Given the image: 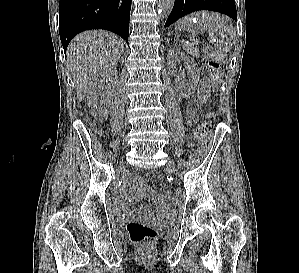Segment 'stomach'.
Returning <instances> with one entry per match:
<instances>
[{"label":"stomach","instance_id":"1","mask_svg":"<svg viewBox=\"0 0 299 273\" xmlns=\"http://www.w3.org/2000/svg\"><path fill=\"white\" fill-rule=\"evenodd\" d=\"M183 30L191 33L192 35H198L204 33L207 29L203 24L199 23L198 21H192L191 23L185 25L183 27Z\"/></svg>","mask_w":299,"mask_h":273}]
</instances>
